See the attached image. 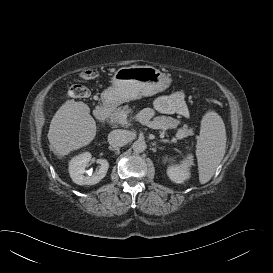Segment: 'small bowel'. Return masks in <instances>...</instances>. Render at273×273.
<instances>
[{"instance_id":"c3829d8e","label":"small bowel","mask_w":273,"mask_h":273,"mask_svg":"<svg viewBox=\"0 0 273 273\" xmlns=\"http://www.w3.org/2000/svg\"><path fill=\"white\" fill-rule=\"evenodd\" d=\"M154 108L162 113L188 116V107L184 93L175 92L170 95L160 96L154 101Z\"/></svg>"}]
</instances>
